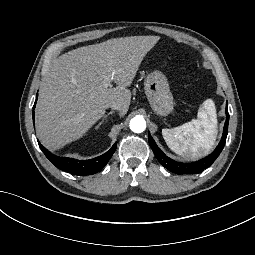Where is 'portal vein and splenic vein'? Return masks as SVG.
Here are the masks:
<instances>
[{
  "mask_svg": "<svg viewBox=\"0 0 255 255\" xmlns=\"http://www.w3.org/2000/svg\"><path fill=\"white\" fill-rule=\"evenodd\" d=\"M114 73L112 72L111 76L106 80V83L104 84L105 88H108L110 86V82L113 79Z\"/></svg>",
  "mask_w": 255,
  "mask_h": 255,
  "instance_id": "18ae733b",
  "label": "portal vein and splenic vein"
}]
</instances>
